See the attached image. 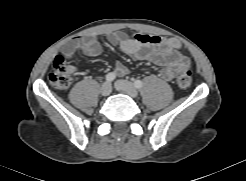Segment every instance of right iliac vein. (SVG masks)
<instances>
[{
    "mask_svg": "<svg viewBox=\"0 0 246 181\" xmlns=\"http://www.w3.org/2000/svg\"><path fill=\"white\" fill-rule=\"evenodd\" d=\"M112 87L110 85V83L105 82L102 84L101 88H100V94L102 96H108L111 93Z\"/></svg>",
    "mask_w": 246,
    "mask_h": 181,
    "instance_id": "right-iliac-vein-1",
    "label": "right iliac vein"
}]
</instances>
